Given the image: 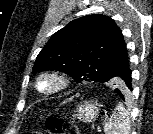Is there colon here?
I'll use <instances>...</instances> for the list:
<instances>
[{"mask_svg": "<svg viewBox=\"0 0 153 134\" xmlns=\"http://www.w3.org/2000/svg\"><path fill=\"white\" fill-rule=\"evenodd\" d=\"M50 134H79L77 128L59 117H50L46 122ZM23 134H43L38 131H27Z\"/></svg>", "mask_w": 153, "mask_h": 134, "instance_id": "5ec220e1", "label": "colon"}]
</instances>
